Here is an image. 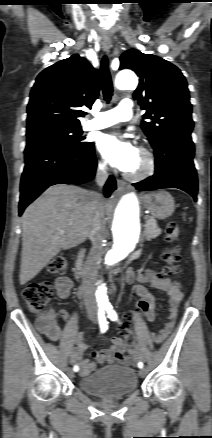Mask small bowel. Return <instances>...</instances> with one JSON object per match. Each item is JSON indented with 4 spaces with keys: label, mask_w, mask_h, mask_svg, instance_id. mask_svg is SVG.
Segmentation results:
<instances>
[{
    "label": "small bowel",
    "mask_w": 212,
    "mask_h": 438,
    "mask_svg": "<svg viewBox=\"0 0 212 438\" xmlns=\"http://www.w3.org/2000/svg\"><path fill=\"white\" fill-rule=\"evenodd\" d=\"M125 278L129 283H133L135 281L139 283L134 287V291L139 297L146 294H151L143 284H147L152 288L162 290L169 296V319L157 334V339L159 341L164 340L171 333L174 327L179 306L183 300L181 285L176 281L162 279L156 274L155 271L150 269L145 273L138 275L135 274L133 269H128ZM55 287L58 296L61 299H67L71 294L73 283L70 278L61 276L56 279ZM58 314L65 320L69 319V314L65 310L59 311ZM55 315V311H51L49 318L38 320L39 329L52 341H57L61 335L60 326L54 319ZM147 320L150 322L155 320V310L151 312ZM76 339L77 347L71 352L70 358L72 362L79 364L80 375L86 376L95 369V364L88 359L82 358L83 352L88 347L87 340L80 335H77ZM125 353H128L129 355L127 356ZM93 356L99 363L134 365L143 357V352L141 350L127 348L121 339L114 338L112 340V344L108 348L95 351Z\"/></svg>",
    "instance_id": "c3829d8e"
}]
</instances>
